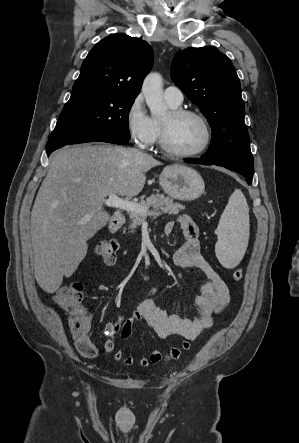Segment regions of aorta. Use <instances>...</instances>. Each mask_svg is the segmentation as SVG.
Wrapping results in <instances>:
<instances>
[{
  "label": "aorta",
  "mask_w": 299,
  "mask_h": 443,
  "mask_svg": "<svg viewBox=\"0 0 299 443\" xmlns=\"http://www.w3.org/2000/svg\"><path fill=\"white\" fill-rule=\"evenodd\" d=\"M142 93L152 117H164L167 107L163 101V83L159 73H149L143 81Z\"/></svg>",
  "instance_id": "aorta-1"
}]
</instances>
